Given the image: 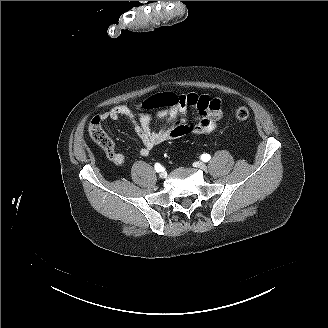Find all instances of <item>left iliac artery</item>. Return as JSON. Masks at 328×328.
<instances>
[{
  "mask_svg": "<svg viewBox=\"0 0 328 328\" xmlns=\"http://www.w3.org/2000/svg\"><path fill=\"white\" fill-rule=\"evenodd\" d=\"M211 156L209 154H202L201 155V160L204 162H208L210 160Z\"/></svg>",
  "mask_w": 328,
  "mask_h": 328,
  "instance_id": "1",
  "label": "left iliac artery"
}]
</instances>
